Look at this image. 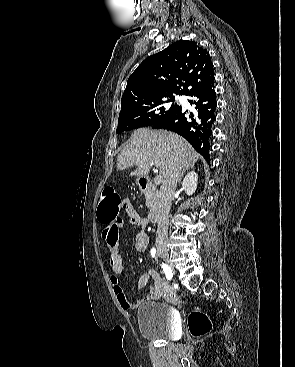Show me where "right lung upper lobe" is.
Here are the masks:
<instances>
[{
	"mask_svg": "<svg viewBox=\"0 0 295 367\" xmlns=\"http://www.w3.org/2000/svg\"><path fill=\"white\" fill-rule=\"evenodd\" d=\"M213 79L208 52L194 41H177L135 69L122 95L120 113L131 102L165 94L187 95Z\"/></svg>",
	"mask_w": 295,
	"mask_h": 367,
	"instance_id": "right-lung-upper-lobe-1",
	"label": "right lung upper lobe"
}]
</instances>
